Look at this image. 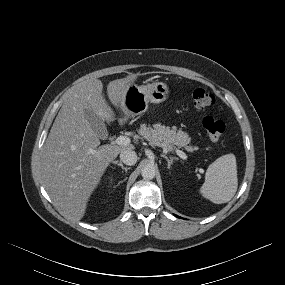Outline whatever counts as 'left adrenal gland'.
Segmentation results:
<instances>
[{
    "label": "left adrenal gland",
    "mask_w": 285,
    "mask_h": 285,
    "mask_svg": "<svg viewBox=\"0 0 285 285\" xmlns=\"http://www.w3.org/2000/svg\"><path fill=\"white\" fill-rule=\"evenodd\" d=\"M162 157H163L164 159H166V161H167V163H168V169H170L173 160H175L176 158H175V157H170V158H168V157H167L166 155H164V154L162 155Z\"/></svg>",
    "instance_id": "a2214340"
}]
</instances>
